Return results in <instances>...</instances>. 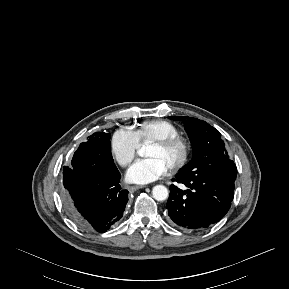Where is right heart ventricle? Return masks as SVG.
<instances>
[{"label": "right heart ventricle", "mask_w": 289, "mask_h": 289, "mask_svg": "<svg viewBox=\"0 0 289 289\" xmlns=\"http://www.w3.org/2000/svg\"><path fill=\"white\" fill-rule=\"evenodd\" d=\"M132 132L139 144H150L156 140L179 135L174 124L162 119L144 121L138 124Z\"/></svg>", "instance_id": "e07e8e85"}]
</instances>
